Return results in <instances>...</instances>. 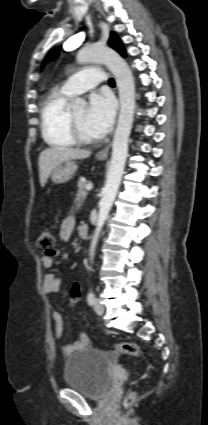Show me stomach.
Returning <instances> with one entry per match:
<instances>
[{
	"mask_svg": "<svg viewBox=\"0 0 208 425\" xmlns=\"http://www.w3.org/2000/svg\"><path fill=\"white\" fill-rule=\"evenodd\" d=\"M77 164L74 161H65L58 164L51 173V180L54 184H63L70 181L77 171Z\"/></svg>",
	"mask_w": 208,
	"mask_h": 425,
	"instance_id": "obj_1",
	"label": "stomach"
}]
</instances>
